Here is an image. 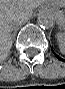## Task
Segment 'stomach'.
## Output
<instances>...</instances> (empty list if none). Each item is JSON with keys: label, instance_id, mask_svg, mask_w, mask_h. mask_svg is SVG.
<instances>
[{"label": "stomach", "instance_id": "stomach-1", "mask_svg": "<svg viewBox=\"0 0 65 89\" xmlns=\"http://www.w3.org/2000/svg\"><path fill=\"white\" fill-rule=\"evenodd\" d=\"M48 7L56 15L60 27L64 29L65 28V1H63L62 3L57 1L49 3Z\"/></svg>", "mask_w": 65, "mask_h": 89}]
</instances>
